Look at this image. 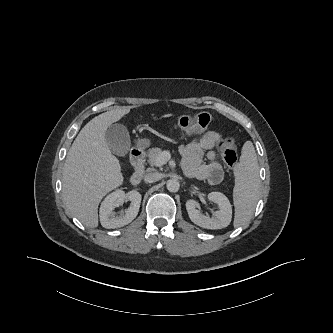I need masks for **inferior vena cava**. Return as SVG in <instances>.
Masks as SVG:
<instances>
[{"label": "inferior vena cava", "instance_id": "602c4592", "mask_svg": "<svg viewBox=\"0 0 333 333\" xmlns=\"http://www.w3.org/2000/svg\"><path fill=\"white\" fill-rule=\"evenodd\" d=\"M162 178V174L158 172H149L145 175L144 181L146 183H153Z\"/></svg>", "mask_w": 333, "mask_h": 333}]
</instances>
